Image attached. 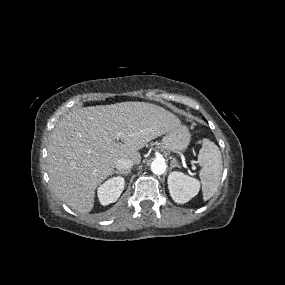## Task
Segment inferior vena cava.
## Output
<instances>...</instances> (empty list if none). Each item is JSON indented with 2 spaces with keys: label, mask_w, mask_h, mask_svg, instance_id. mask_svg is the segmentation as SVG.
I'll return each instance as SVG.
<instances>
[{
  "label": "inferior vena cava",
  "mask_w": 285,
  "mask_h": 285,
  "mask_svg": "<svg viewBox=\"0 0 285 285\" xmlns=\"http://www.w3.org/2000/svg\"><path fill=\"white\" fill-rule=\"evenodd\" d=\"M134 161L130 160V159H119L116 163H115V167L117 170L119 171H128L132 168V166L134 165Z\"/></svg>",
  "instance_id": "inferior-vena-cava-1"
}]
</instances>
